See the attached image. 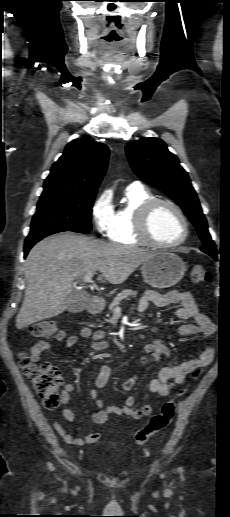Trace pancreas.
<instances>
[{
  "label": "pancreas",
  "instance_id": "1",
  "mask_svg": "<svg viewBox=\"0 0 230 517\" xmlns=\"http://www.w3.org/2000/svg\"><path fill=\"white\" fill-rule=\"evenodd\" d=\"M137 295V291H134V290H131V289H125L123 291H121L115 298L114 300L111 302V304L109 305V310L110 311H113V309L120 304V302L123 300V299H126L128 298L129 296H136Z\"/></svg>",
  "mask_w": 230,
  "mask_h": 517
}]
</instances>
